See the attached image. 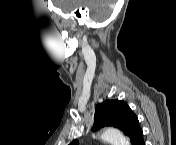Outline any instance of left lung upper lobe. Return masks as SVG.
Listing matches in <instances>:
<instances>
[{
  "instance_id": "obj_1",
  "label": "left lung upper lobe",
  "mask_w": 176,
  "mask_h": 145,
  "mask_svg": "<svg viewBox=\"0 0 176 145\" xmlns=\"http://www.w3.org/2000/svg\"><path fill=\"white\" fill-rule=\"evenodd\" d=\"M104 126H113L122 130L132 144L142 133L136 115L125 102L118 99L106 100L96 106L93 131ZM77 143L78 141L74 140L71 145Z\"/></svg>"
}]
</instances>
